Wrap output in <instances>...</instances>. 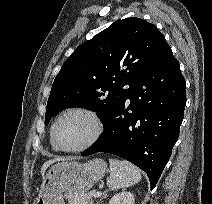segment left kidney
I'll return each instance as SVG.
<instances>
[{
  "mask_svg": "<svg viewBox=\"0 0 212 204\" xmlns=\"http://www.w3.org/2000/svg\"><path fill=\"white\" fill-rule=\"evenodd\" d=\"M108 204H134V195L129 191H122L114 195Z\"/></svg>",
  "mask_w": 212,
  "mask_h": 204,
  "instance_id": "obj_1",
  "label": "left kidney"
}]
</instances>
